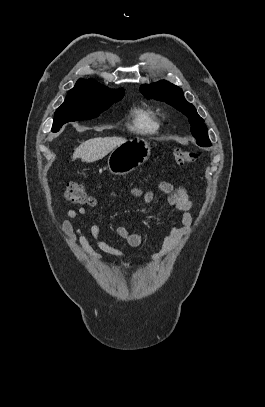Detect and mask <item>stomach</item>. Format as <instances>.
Returning a JSON list of instances; mask_svg holds the SVG:
<instances>
[{
  "label": "stomach",
  "mask_w": 265,
  "mask_h": 407,
  "mask_svg": "<svg viewBox=\"0 0 265 407\" xmlns=\"http://www.w3.org/2000/svg\"><path fill=\"white\" fill-rule=\"evenodd\" d=\"M149 156L150 146L146 141L130 140L112 150L108 168L114 175H126L145 163Z\"/></svg>",
  "instance_id": "stomach-1"
}]
</instances>
